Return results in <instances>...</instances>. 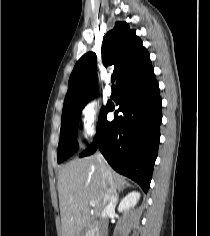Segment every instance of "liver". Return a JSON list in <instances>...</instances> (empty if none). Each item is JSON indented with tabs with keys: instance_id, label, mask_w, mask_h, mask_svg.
I'll return each mask as SVG.
<instances>
[{
	"instance_id": "obj_1",
	"label": "liver",
	"mask_w": 210,
	"mask_h": 236,
	"mask_svg": "<svg viewBox=\"0 0 210 236\" xmlns=\"http://www.w3.org/2000/svg\"><path fill=\"white\" fill-rule=\"evenodd\" d=\"M125 178L107 166L103 171L96 156L75 159L58 173L59 207L63 236H79L90 220V202L95 215L103 209L106 191L121 190Z\"/></svg>"
}]
</instances>
